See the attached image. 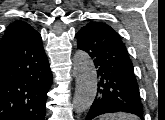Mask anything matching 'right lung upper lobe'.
I'll return each instance as SVG.
<instances>
[{"mask_svg":"<svg viewBox=\"0 0 165 120\" xmlns=\"http://www.w3.org/2000/svg\"><path fill=\"white\" fill-rule=\"evenodd\" d=\"M37 32L29 24L23 21H15L10 24L0 42V47L18 41Z\"/></svg>","mask_w":165,"mask_h":120,"instance_id":"right-lung-upper-lobe-1","label":"right lung upper lobe"}]
</instances>
